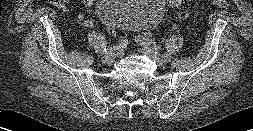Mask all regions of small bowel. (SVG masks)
<instances>
[{
	"label": "small bowel",
	"instance_id": "1",
	"mask_svg": "<svg viewBox=\"0 0 253 131\" xmlns=\"http://www.w3.org/2000/svg\"><path fill=\"white\" fill-rule=\"evenodd\" d=\"M95 0H82L83 5L85 6L87 12H90L92 9V6L94 4ZM53 5L63 11L64 13H67L68 5L66 0H57L53 3ZM75 19L77 22L81 23L82 25L86 27L93 26V22L90 19L86 18V15L82 12H79L75 15Z\"/></svg>",
	"mask_w": 253,
	"mask_h": 131
}]
</instances>
